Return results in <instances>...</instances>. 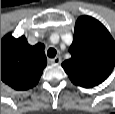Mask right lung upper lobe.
I'll return each mask as SVG.
<instances>
[{"instance_id":"1","label":"right lung upper lobe","mask_w":115,"mask_h":114,"mask_svg":"<svg viewBox=\"0 0 115 114\" xmlns=\"http://www.w3.org/2000/svg\"><path fill=\"white\" fill-rule=\"evenodd\" d=\"M44 44H28L25 36L18 39L10 33L1 39V80L16 90L34 87L47 64Z\"/></svg>"}]
</instances>
